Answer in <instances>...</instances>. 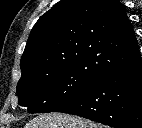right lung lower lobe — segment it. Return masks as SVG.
<instances>
[{"label": "right lung lower lobe", "instance_id": "obj_1", "mask_svg": "<svg viewBox=\"0 0 142 128\" xmlns=\"http://www.w3.org/2000/svg\"><path fill=\"white\" fill-rule=\"evenodd\" d=\"M54 112L74 114L114 128H142V59L105 74Z\"/></svg>", "mask_w": 142, "mask_h": 128}]
</instances>
